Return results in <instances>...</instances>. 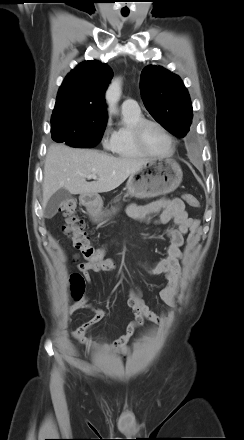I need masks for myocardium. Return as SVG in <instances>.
<instances>
[{
  "mask_svg": "<svg viewBox=\"0 0 244 440\" xmlns=\"http://www.w3.org/2000/svg\"><path fill=\"white\" fill-rule=\"evenodd\" d=\"M148 125H153L158 127L169 139L171 148L170 151L165 154H154L148 151L145 147L144 141H143V131ZM131 136L132 140L135 144V146L145 155L151 156V157H163V156H169L172 155L175 152L176 149V141L171 134V132L160 122L152 120V119H146L143 118L139 121H137L135 124H133L131 128Z\"/></svg>",
  "mask_w": 244,
  "mask_h": 440,
  "instance_id": "1",
  "label": "myocardium"
}]
</instances>
